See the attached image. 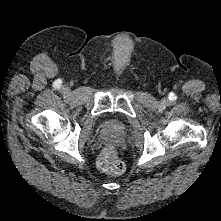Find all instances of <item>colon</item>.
Returning a JSON list of instances; mask_svg holds the SVG:
<instances>
[{
	"instance_id": "colon-1",
	"label": "colon",
	"mask_w": 221,
	"mask_h": 221,
	"mask_svg": "<svg viewBox=\"0 0 221 221\" xmlns=\"http://www.w3.org/2000/svg\"><path fill=\"white\" fill-rule=\"evenodd\" d=\"M97 166L102 172L108 174H120L124 171V164L113 148H108L101 152L97 159Z\"/></svg>"
}]
</instances>
